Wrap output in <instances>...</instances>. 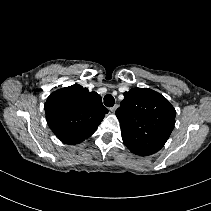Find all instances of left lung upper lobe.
Instances as JSON below:
<instances>
[{"label": "left lung upper lobe", "mask_w": 211, "mask_h": 211, "mask_svg": "<svg viewBox=\"0 0 211 211\" xmlns=\"http://www.w3.org/2000/svg\"><path fill=\"white\" fill-rule=\"evenodd\" d=\"M116 116L125 146L134 154L147 156L159 151L168 140L176 111L160 93L133 88L124 92Z\"/></svg>", "instance_id": "left-lung-upper-lobe-1"}]
</instances>
